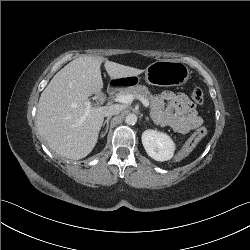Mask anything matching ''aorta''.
Here are the masks:
<instances>
[{"instance_id":"1","label":"aorta","mask_w":250,"mask_h":250,"mask_svg":"<svg viewBox=\"0 0 250 250\" xmlns=\"http://www.w3.org/2000/svg\"><path fill=\"white\" fill-rule=\"evenodd\" d=\"M125 122L128 125H134L137 122V116L133 113H130L126 116Z\"/></svg>"}]
</instances>
